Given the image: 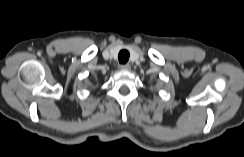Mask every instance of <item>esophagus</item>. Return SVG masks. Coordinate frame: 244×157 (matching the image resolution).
I'll return each instance as SVG.
<instances>
[{
    "mask_svg": "<svg viewBox=\"0 0 244 157\" xmlns=\"http://www.w3.org/2000/svg\"><path fill=\"white\" fill-rule=\"evenodd\" d=\"M119 68L121 70H129L131 68V65L130 64H121V65H119Z\"/></svg>",
    "mask_w": 244,
    "mask_h": 157,
    "instance_id": "1",
    "label": "esophagus"
}]
</instances>
